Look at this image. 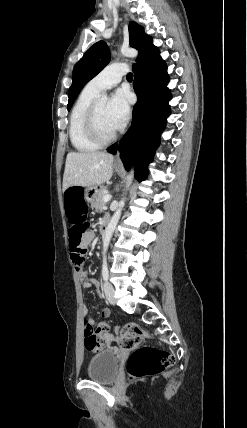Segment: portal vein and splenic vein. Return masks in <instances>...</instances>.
<instances>
[{"mask_svg":"<svg viewBox=\"0 0 247 428\" xmlns=\"http://www.w3.org/2000/svg\"><path fill=\"white\" fill-rule=\"evenodd\" d=\"M111 200V195H105L104 197H103V201L104 202H108V201H110Z\"/></svg>","mask_w":247,"mask_h":428,"instance_id":"obj_1","label":"portal vein and splenic vein"}]
</instances>
